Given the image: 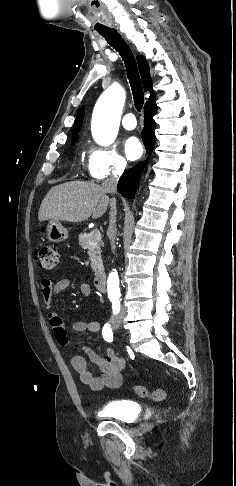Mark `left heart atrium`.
Masks as SVG:
<instances>
[{"mask_svg": "<svg viewBox=\"0 0 236 486\" xmlns=\"http://www.w3.org/2000/svg\"><path fill=\"white\" fill-rule=\"evenodd\" d=\"M124 152L129 160L138 159L143 151L142 145L136 137H129L123 144Z\"/></svg>", "mask_w": 236, "mask_h": 486, "instance_id": "1", "label": "left heart atrium"}]
</instances>
